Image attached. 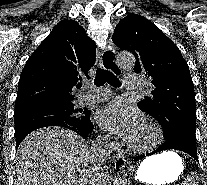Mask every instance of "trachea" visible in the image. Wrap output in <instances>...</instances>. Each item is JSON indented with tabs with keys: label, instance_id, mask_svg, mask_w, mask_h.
I'll use <instances>...</instances> for the list:
<instances>
[{
	"label": "trachea",
	"instance_id": "3493384b",
	"mask_svg": "<svg viewBox=\"0 0 207 185\" xmlns=\"http://www.w3.org/2000/svg\"><path fill=\"white\" fill-rule=\"evenodd\" d=\"M106 82L112 85L113 87H119L121 85L120 81L118 80L117 77H115V75H113V73H111L108 70H102L99 68L96 72L94 83L97 86H101L104 85V83Z\"/></svg>",
	"mask_w": 207,
	"mask_h": 185
}]
</instances>
